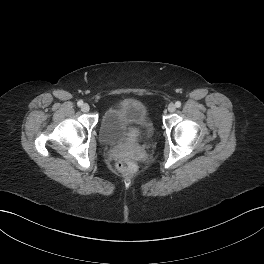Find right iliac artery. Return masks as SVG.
<instances>
[{
	"mask_svg": "<svg viewBox=\"0 0 264 264\" xmlns=\"http://www.w3.org/2000/svg\"><path fill=\"white\" fill-rule=\"evenodd\" d=\"M78 106H82L83 105V101L82 100H79L78 103H77Z\"/></svg>",
	"mask_w": 264,
	"mask_h": 264,
	"instance_id": "82829eb1",
	"label": "right iliac artery"
}]
</instances>
